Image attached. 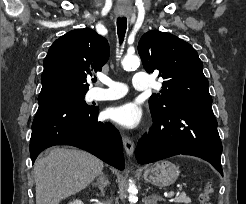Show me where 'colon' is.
I'll use <instances>...</instances> for the list:
<instances>
[{
    "label": "colon",
    "mask_w": 246,
    "mask_h": 204,
    "mask_svg": "<svg viewBox=\"0 0 246 204\" xmlns=\"http://www.w3.org/2000/svg\"><path fill=\"white\" fill-rule=\"evenodd\" d=\"M212 192V187L211 185L208 183L204 189L203 192L200 195V203L201 204H210V194Z\"/></svg>",
    "instance_id": "obj_1"
}]
</instances>
